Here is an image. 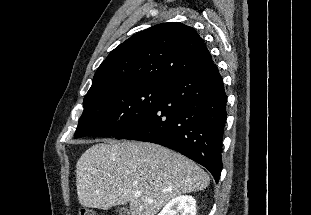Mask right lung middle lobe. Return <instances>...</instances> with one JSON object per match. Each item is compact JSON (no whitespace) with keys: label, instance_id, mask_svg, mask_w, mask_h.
I'll return each mask as SVG.
<instances>
[{"label":"right lung middle lobe","instance_id":"1","mask_svg":"<svg viewBox=\"0 0 311 215\" xmlns=\"http://www.w3.org/2000/svg\"><path fill=\"white\" fill-rule=\"evenodd\" d=\"M164 84H141L109 88L84 98L75 138L115 137L130 129L162 101Z\"/></svg>","mask_w":311,"mask_h":215}]
</instances>
